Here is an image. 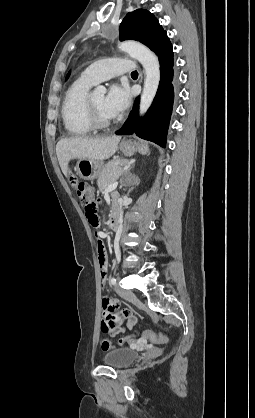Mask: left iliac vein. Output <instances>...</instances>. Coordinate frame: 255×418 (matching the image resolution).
<instances>
[{"instance_id": "obj_1", "label": "left iliac vein", "mask_w": 255, "mask_h": 418, "mask_svg": "<svg viewBox=\"0 0 255 418\" xmlns=\"http://www.w3.org/2000/svg\"><path fill=\"white\" fill-rule=\"evenodd\" d=\"M114 289H115L117 294H119L121 297H123L125 299H129V300H134L135 299V295L132 291L125 290L117 284L115 285Z\"/></svg>"}]
</instances>
